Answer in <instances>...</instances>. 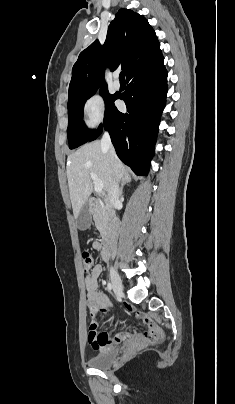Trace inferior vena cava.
<instances>
[{"instance_id": "1", "label": "inferior vena cava", "mask_w": 235, "mask_h": 404, "mask_svg": "<svg viewBox=\"0 0 235 404\" xmlns=\"http://www.w3.org/2000/svg\"><path fill=\"white\" fill-rule=\"evenodd\" d=\"M101 146L105 151L108 152V155L110 156V158L112 160H114L116 158V153L113 148V145H112V142L110 139V135L107 132H105L102 136ZM119 195H120V191H119L118 181H114L112 183L111 189L108 193V199H109L110 204L115 208L120 204Z\"/></svg>"}]
</instances>
